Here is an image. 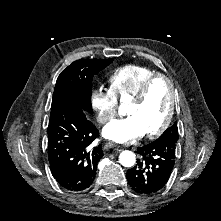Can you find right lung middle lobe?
Here are the masks:
<instances>
[{
	"instance_id": "right-lung-middle-lobe-1",
	"label": "right lung middle lobe",
	"mask_w": 221,
	"mask_h": 221,
	"mask_svg": "<svg viewBox=\"0 0 221 221\" xmlns=\"http://www.w3.org/2000/svg\"><path fill=\"white\" fill-rule=\"evenodd\" d=\"M113 59H80L66 67L58 76L51 105V113L65 104L92 112V79Z\"/></svg>"
}]
</instances>
